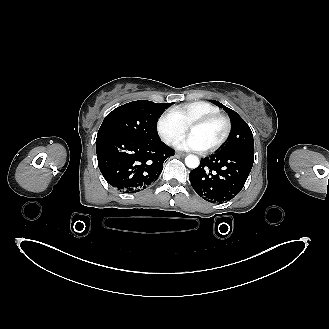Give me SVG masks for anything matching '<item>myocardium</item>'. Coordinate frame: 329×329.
Segmentation results:
<instances>
[{
  "mask_svg": "<svg viewBox=\"0 0 329 329\" xmlns=\"http://www.w3.org/2000/svg\"><path fill=\"white\" fill-rule=\"evenodd\" d=\"M215 120H220L224 123V126H225L224 133H223L222 137L213 146H211L207 149H204V151L206 153H213V152L217 151L228 140V138L231 134V130H232V124H231L230 119L221 113H214V114H209V115L199 117V118L191 121L188 124V130H190L193 127L201 126V125L207 124V123L215 121Z\"/></svg>",
  "mask_w": 329,
  "mask_h": 329,
  "instance_id": "myocardium-1",
  "label": "myocardium"
}]
</instances>
